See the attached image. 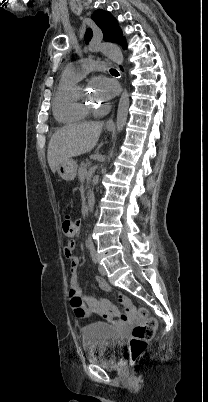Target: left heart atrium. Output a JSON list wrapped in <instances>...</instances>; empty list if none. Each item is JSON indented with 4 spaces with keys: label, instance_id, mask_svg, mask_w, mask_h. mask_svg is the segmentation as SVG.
I'll list each match as a JSON object with an SVG mask.
<instances>
[{
    "label": "left heart atrium",
    "instance_id": "39dd6f15",
    "mask_svg": "<svg viewBox=\"0 0 208 402\" xmlns=\"http://www.w3.org/2000/svg\"><path fill=\"white\" fill-rule=\"evenodd\" d=\"M96 82L102 95L101 100H108L114 95L115 84L113 81L106 77H98Z\"/></svg>",
    "mask_w": 208,
    "mask_h": 402
}]
</instances>
